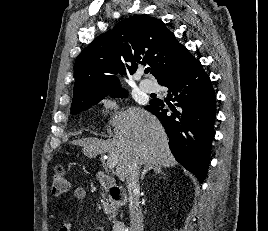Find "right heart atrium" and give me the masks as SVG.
<instances>
[{
    "instance_id": "obj_1",
    "label": "right heart atrium",
    "mask_w": 268,
    "mask_h": 231,
    "mask_svg": "<svg viewBox=\"0 0 268 231\" xmlns=\"http://www.w3.org/2000/svg\"><path fill=\"white\" fill-rule=\"evenodd\" d=\"M115 110H116V105H115V104L105 105V106L102 108L101 113H102L104 116H108V115H110L111 113H113Z\"/></svg>"
}]
</instances>
